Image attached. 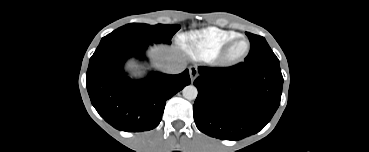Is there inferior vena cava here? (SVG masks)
Masks as SVG:
<instances>
[{"mask_svg": "<svg viewBox=\"0 0 369 152\" xmlns=\"http://www.w3.org/2000/svg\"><path fill=\"white\" fill-rule=\"evenodd\" d=\"M186 67L185 62H167L164 64L163 69L170 74H177L182 72Z\"/></svg>", "mask_w": 369, "mask_h": 152, "instance_id": "inferior-vena-cava-1", "label": "inferior vena cava"}]
</instances>
